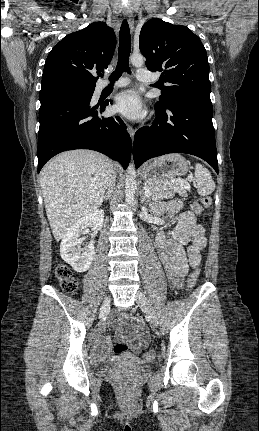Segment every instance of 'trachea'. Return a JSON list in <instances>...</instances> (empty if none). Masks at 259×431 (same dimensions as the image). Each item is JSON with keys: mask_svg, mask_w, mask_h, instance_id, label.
I'll use <instances>...</instances> for the list:
<instances>
[{"mask_svg": "<svg viewBox=\"0 0 259 431\" xmlns=\"http://www.w3.org/2000/svg\"><path fill=\"white\" fill-rule=\"evenodd\" d=\"M130 52H131L130 30H129V25L127 20H124L120 28L118 64L116 66L115 71L109 77L111 81L118 80L123 72L130 73V68H129Z\"/></svg>", "mask_w": 259, "mask_h": 431, "instance_id": "1", "label": "trachea"}]
</instances>
